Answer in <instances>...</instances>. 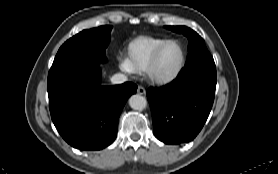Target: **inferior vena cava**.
I'll list each match as a JSON object with an SVG mask.
<instances>
[{
  "mask_svg": "<svg viewBox=\"0 0 278 174\" xmlns=\"http://www.w3.org/2000/svg\"><path fill=\"white\" fill-rule=\"evenodd\" d=\"M127 81V76L122 74V73H117V74H114L112 77H111V82L113 84H122L124 82Z\"/></svg>",
  "mask_w": 278,
  "mask_h": 174,
  "instance_id": "inferior-vena-cava-1",
  "label": "inferior vena cava"
}]
</instances>
